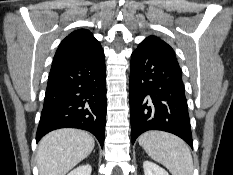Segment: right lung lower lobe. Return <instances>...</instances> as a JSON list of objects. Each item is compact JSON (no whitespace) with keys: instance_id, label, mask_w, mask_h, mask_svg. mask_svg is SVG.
Instances as JSON below:
<instances>
[{"instance_id":"98d812e1","label":"right lung lower lobe","mask_w":233,"mask_h":175,"mask_svg":"<svg viewBox=\"0 0 233 175\" xmlns=\"http://www.w3.org/2000/svg\"><path fill=\"white\" fill-rule=\"evenodd\" d=\"M105 79L103 50L87 59L51 69L36 141L52 130L69 127L91 132L103 147Z\"/></svg>"}]
</instances>
